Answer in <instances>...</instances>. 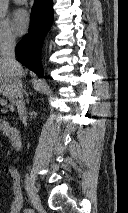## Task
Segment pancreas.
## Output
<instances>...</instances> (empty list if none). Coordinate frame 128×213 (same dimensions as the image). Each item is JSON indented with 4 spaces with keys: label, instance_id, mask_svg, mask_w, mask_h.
Listing matches in <instances>:
<instances>
[{
    "label": "pancreas",
    "instance_id": "cf45deb5",
    "mask_svg": "<svg viewBox=\"0 0 128 213\" xmlns=\"http://www.w3.org/2000/svg\"><path fill=\"white\" fill-rule=\"evenodd\" d=\"M0 130H4V125L0 123Z\"/></svg>",
    "mask_w": 128,
    "mask_h": 213
}]
</instances>
